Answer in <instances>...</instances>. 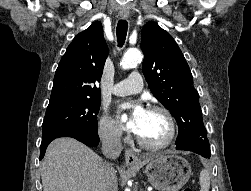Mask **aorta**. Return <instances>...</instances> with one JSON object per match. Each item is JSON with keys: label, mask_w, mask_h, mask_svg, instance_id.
<instances>
[{"label": "aorta", "mask_w": 251, "mask_h": 191, "mask_svg": "<svg viewBox=\"0 0 251 191\" xmlns=\"http://www.w3.org/2000/svg\"><path fill=\"white\" fill-rule=\"evenodd\" d=\"M141 58H143V56L137 48H130V50H127L126 54H124L121 62L123 70H129V68H133L135 64H139ZM123 117H125V115H123Z\"/></svg>", "instance_id": "1"}]
</instances>
